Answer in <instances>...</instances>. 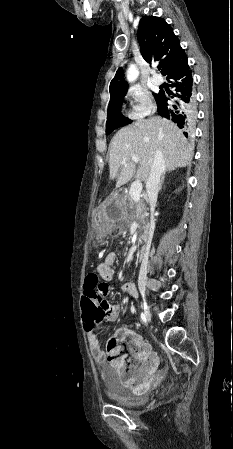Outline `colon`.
Segmentation results:
<instances>
[{
    "label": "colon",
    "mask_w": 233,
    "mask_h": 449,
    "mask_svg": "<svg viewBox=\"0 0 233 449\" xmlns=\"http://www.w3.org/2000/svg\"><path fill=\"white\" fill-rule=\"evenodd\" d=\"M98 274L90 272L86 275L84 282V292L80 299L82 306L81 318L83 328H102L104 312L99 305L98 297L101 292L96 288L100 285ZM132 336L128 332H123L117 337L112 338L107 344V353L111 361H119L120 346L122 344H131ZM128 366V365H127Z\"/></svg>",
    "instance_id": "5ec220e1"
}]
</instances>
